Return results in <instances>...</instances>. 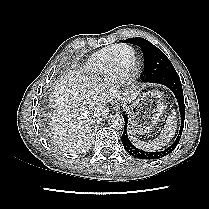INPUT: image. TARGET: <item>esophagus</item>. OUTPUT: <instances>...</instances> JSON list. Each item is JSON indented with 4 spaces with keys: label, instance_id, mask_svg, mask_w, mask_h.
I'll use <instances>...</instances> for the list:
<instances>
[{
    "label": "esophagus",
    "instance_id": "1",
    "mask_svg": "<svg viewBox=\"0 0 209 209\" xmlns=\"http://www.w3.org/2000/svg\"><path fill=\"white\" fill-rule=\"evenodd\" d=\"M112 108H113L115 111H118V110H119L118 104H114Z\"/></svg>",
    "mask_w": 209,
    "mask_h": 209
}]
</instances>
